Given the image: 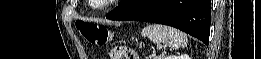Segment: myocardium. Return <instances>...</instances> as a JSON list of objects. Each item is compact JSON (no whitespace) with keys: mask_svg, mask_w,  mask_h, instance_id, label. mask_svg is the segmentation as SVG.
Listing matches in <instances>:
<instances>
[{"mask_svg":"<svg viewBox=\"0 0 261 59\" xmlns=\"http://www.w3.org/2000/svg\"><path fill=\"white\" fill-rule=\"evenodd\" d=\"M115 0H95L96 2L95 7L98 9H103L109 6L110 3L114 2Z\"/></svg>","mask_w":261,"mask_h":59,"instance_id":"myocardium-1","label":"myocardium"}]
</instances>
